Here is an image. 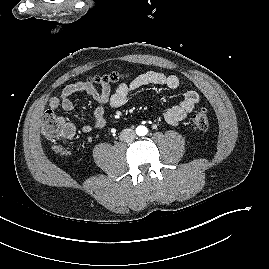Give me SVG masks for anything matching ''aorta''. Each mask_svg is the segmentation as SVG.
Instances as JSON below:
<instances>
[{
	"label": "aorta",
	"instance_id": "762f6f07",
	"mask_svg": "<svg viewBox=\"0 0 269 269\" xmlns=\"http://www.w3.org/2000/svg\"><path fill=\"white\" fill-rule=\"evenodd\" d=\"M148 130L145 126H138L136 128V133L138 136H145L147 134Z\"/></svg>",
	"mask_w": 269,
	"mask_h": 269
}]
</instances>
